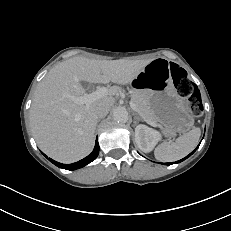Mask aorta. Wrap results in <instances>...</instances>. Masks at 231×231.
<instances>
[{
    "mask_svg": "<svg viewBox=\"0 0 231 231\" xmlns=\"http://www.w3.org/2000/svg\"><path fill=\"white\" fill-rule=\"evenodd\" d=\"M129 118L128 111L124 107H117L113 110V119L116 122L125 123Z\"/></svg>",
    "mask_w": 231,
    "mask_h": 231,
    "instance_id": "obj_1",
    "label": "aorta"
}]
</instances>
